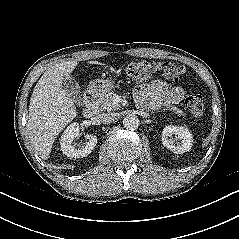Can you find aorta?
Wrapping results in <instances>:
<instances>
[{
    "instance_id": "1",
    "label": "aorta",
    "mask_w": 239,
    "mask_h": 239,
    "mask_svg": "<svg viewBox=\"0 0 239 239\" xmlns=\"http://www.w3.org/2000/svg\"><path fill=\"white\" fill-rule=\"evenodd\" d=\"M140 124L137 116L129 114L123 119V125L126 129L136 130Z\"/></svg>"
}]
</instances>
